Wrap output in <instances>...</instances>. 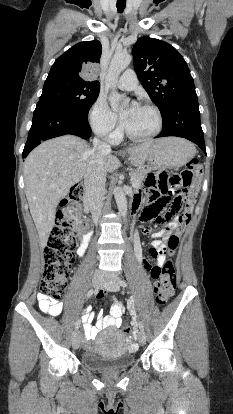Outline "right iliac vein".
I'll use <instances>...</instances> for the list:
<instances>
[{"label":"right iliac vein","mask_w":233,"mask_h":414,"mask_svg":"<svg viewBox=\"0 0 233 414\" xmlns=\"http://www.w3.org/2000/svg\"><path fill=\"white\" fill-rule=\"evenodd\" d=\"M101 281H102L101 274L99 272H95L93 274V277H92V284H93V286L96 287V288H99L100 285H101ZM71 343H72V347L74 349H77L79 347V343H80V333L78 331H75L72 334Z\"/></svg>","instance_id":"right-iliac-vein-1"}]
</instances>
